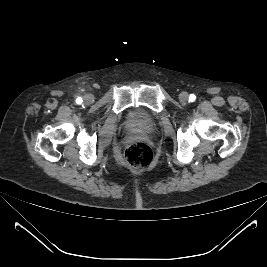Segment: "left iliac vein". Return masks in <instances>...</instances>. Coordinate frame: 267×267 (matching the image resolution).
<instances>
[{"mask_svg": "<svg viewBox=\"0 0 267 267\" xmlns=\"http://www.w3.org/2000/svg\"><path fill=\"white\" fill-rule=\"evenodd\" d=\"M188 99H189V97H188V93L187 92H181L179 94V100H180L181 103H184V104L187 103Z\"/></svg>", "mask_w": 267, "mask_h": 267, "instance_id": "left-iliac-vein-1", "label": "left iliac vein"}]
</instances>
